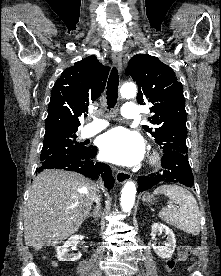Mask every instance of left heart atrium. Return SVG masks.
I'll return each mask as SVG.
<instances>
[{
    "mask_svg": "<svg viewBox=\"0 0 221 276\" xmlns=\"http://www.w3.org/2000/svg\"><path fill=\"white\" fill-rule=\"evenodd\" d=\"M99 146L104 160L125 166L137 164L144 154L141 136L123 127L105 133L100 139Z\"/></svg>",
    "mask_w": 221,
    "mask_h": 276,
    "instance_id": "left-heart-atrium-1",
    "label": "left heart atrium"
}]
</instances>
